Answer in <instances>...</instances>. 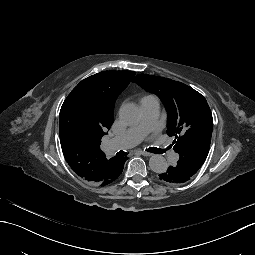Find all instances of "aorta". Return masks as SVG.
<instances>
[{"label": "aorta", "instance_id": "obj_1", "mask_svg": "<svg viewBox=\"0 0 255 255\" xmlns=\"http://www.w3.org/2000/svg\"><path fill=\"white\" fill-rule=\"evenodd\" d=\"M119 118L126 124H134L140 118V111L134 104H125L120 108ZM149 167L155 173H164L168 166L166 159L162 155L155 154L149 159Z\"/></svg>", "mask_w": 255, "mask_h": 255}]
</instances>
